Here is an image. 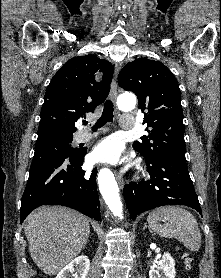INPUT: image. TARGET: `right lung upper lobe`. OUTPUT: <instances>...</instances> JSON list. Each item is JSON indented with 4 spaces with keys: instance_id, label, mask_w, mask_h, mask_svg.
<instances>
[{
    "instance_id": "right-lung-upper-lobe-1",
    "label": "right lung upper lobe",
    "mask_w": 221,
    "mask_h": 278,
    "mask_svg": "<svg viewBox=\"0 0 221 278\" xmlns=\"http://www.w3.org/2000/svg\"><path fill=\"white\" fill-rule=\"evenodd\" d=\"M103 72L100 83L95 73ZM113 66L95 55L74 57L66 62L47 87L41 110L36 144L71 137L75 122L102 104L110 91Z\"/></svg>"
}]
</instances>
